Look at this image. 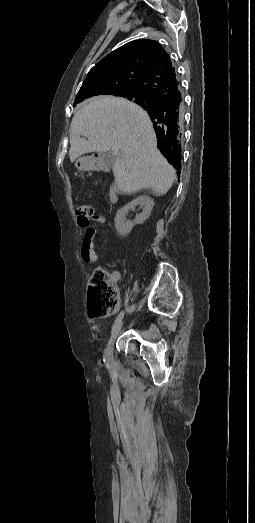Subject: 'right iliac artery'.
<instances>
[{"instance_id": "1", "label": "right iliac artery", "mask_w": 255, "mask_h": 523, "mask_svg": "<svg viewBox=\"0 0 255 523\" xmlns=\"http://www.w3.org/2000/svg\"><path fill=\"white\" fill-rule=\"evenodd\" d=\"M124 316V312L121 311L118 316L116 317V320H115V323L113 324V327H112V333L116 330V328L118 327L119 323L121 322L122 318ZM104 361L106 363H108V359H107V356H106V352L104 354Z\"/></svg>"}]
</instances>
